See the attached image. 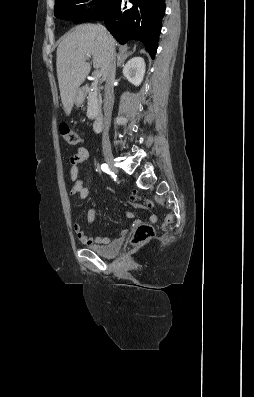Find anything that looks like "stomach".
Masks as SVG:
<instances>
[{
	"label": "stomach",
	"mask_w": 254,
	"mask_h": 397,
	"mask_svg": "<svg viewBox=\"0 0 254 397\" xmlns=\"http://www.w3.org/2000/svg\"><path fill=\"white\" fill-rule=\"evenodd\" d=\"M84 101V93L81 89H78L75 95V104L77 106L81 105Z\"/></svg>",
	"instance_id": "obj_1"
}]
</instances>
